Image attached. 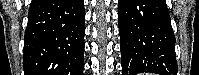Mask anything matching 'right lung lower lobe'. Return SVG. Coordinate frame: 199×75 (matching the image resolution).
<instances>
[{"mask_svg": "<svg viewBox=\"0 0 199 75\" xmlns=\"http://www.w3.org/2000/svg\"><path fill=\"white\" fill-rule=\"evenodd\" d=\"M83 0H32L24 36V75H83Z\"/></svg>", "mask_w": 199, "mask_h": 75, "instance_id": "98d812e1", "label": "right lung lower lobe"}]
</instances>
